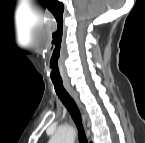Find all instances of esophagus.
<instances>
[{"mask_svg":"<svg viewBox=\"0 0 145 143\" xmlns=\"http://www.w3.org/2000/svg\"><path fill=\"white\" fill-rule=\"evenodd\" d=\"M65 88L67 89V91L70 93V95L75 100V102L80 110V113L82 115V119H83V121H85V110H84V107H83L77 93L68 84H65Z\"/></svg>","mask_w":145,"mask_h":143,"instance_id":"obj_1","label":"esophagus"}]
</instances>
